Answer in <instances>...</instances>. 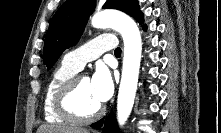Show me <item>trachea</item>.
<instances>
[{"label":"trachea","instance_id":"3493384b","mask_svg":"<svg viewBox=\"0 0 221 133\" xmlns=\"http://www.w3.org/2000/svg\"><path fill=\"white\" fill-rule=\"evenodd\" d=\"M114 54L115 55H121V49L119 47L116 48L115 51H114Z\"/></svg>","mask_w":221,"mask_h":133}]
</instances>
